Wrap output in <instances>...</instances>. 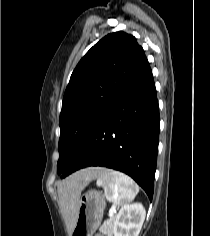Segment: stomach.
I'll use <instances>...</instances> for the list:
<instances>
[{"label":"stomach","mask_w":210,"mask_h":236,"mask_svg":"<svg viewBox=\"0 0 210 236\" xmlns=\"http://www.w3.org/2000/svg\"><path fill=\"white\" fill-rule=\"evenodd\" d=\"M105 206L106 201L102 192L90 190L83 194L71 236H92L101 223Z\"/></svg>","instance_id":"stomach-1"}]
</instances>
